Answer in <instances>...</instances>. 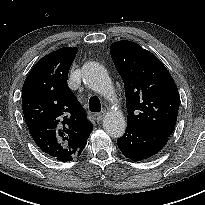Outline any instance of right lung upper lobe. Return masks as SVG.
<instances>
[{
  "mask_svg": "<svg viewBox=\"0 0 205 205\" xmlns=\"http://www.w3.org/2000/svg\"><path fill=\"white\" fill-rule=\"evenodd\" d=\"M77 48L64 47L41 58L22 88L26 124L37 146L62 162L72 161L93 125L67 85Z\"/></svg>",
  "mask_w": 205,
  "mask_h": 205,
  "instance_id": "right-lung-upper-lobe-1",
  "label": "right lung upper lobe"
}]
</instances>
